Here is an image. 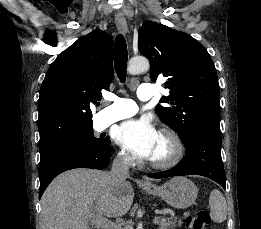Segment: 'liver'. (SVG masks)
Wrapping results in <instances>:
<instances>
[{
  "label": "liver",
  "mask_w": 261,
  "mask_h": 229,
  "mask_svg": "<svg viewBox=\"0 0 261 229\" xmlns=\"http://www.w3.org/2000/svg\"><path fill=\"white\" fill-rule=\"evenodd\" d=\"M134 199L132 185H113L109 173L72 169L56 177L41 199V229H90L101 217H123Z\"/></svg>",
  "instance_id": "liver-1"
}]
</instances>
